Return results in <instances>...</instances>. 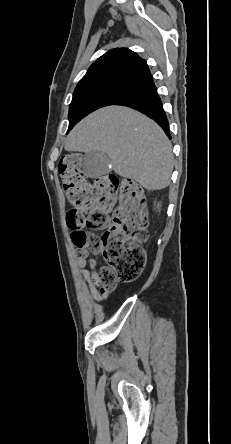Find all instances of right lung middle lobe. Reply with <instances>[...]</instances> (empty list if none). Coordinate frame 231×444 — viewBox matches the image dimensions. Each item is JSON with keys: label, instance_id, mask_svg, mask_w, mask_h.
<instances>
[{"label": "right lung middle lobe", "instance_id": "dd1d6c3e", "mask_svg": "<svg viewBox=\"0 0 231 444\" xmlns=\"http://www.w3.org/2000/svg\"><path fill=\"white\" fill-rule=\"evenodd\" d=\"M127 92L129 91L126 88L115 84H103L89 88L75 89L69 108L68 132L89 113L101 107L112 105Z\"/></svg>", "mask_w": 231, "mask_h": 444}]
</instances>
